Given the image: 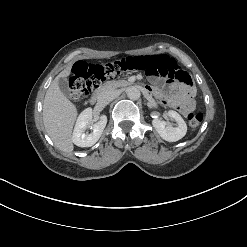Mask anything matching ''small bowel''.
Returning <instances> with one entry per match:
<instances>
[{
	"mask_svg": "<svg viewBox=\"0 0 247 247\" xmlns=\"http://www.w3.org/2000/svg\"><path fill=\"white\" fill-rule=\"evenodd\" d=\"M177 69L182 70L178 65ZM144 72L153 85L148 87V91L159 97L163 105L179 111L184 116H188L195 109L193 88L173 82L174 78L169 75V71L165 67H148ZM165 80H169L167 83L169 84V94L159 88Z\"/></svg>",
	"mask_w": 247,
	"mask_h": 247,
	"instance_id": "1",
	"label": "small bowel"
}]
</instances>
